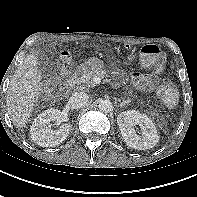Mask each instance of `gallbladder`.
Listing matches in <instances>:
<instances>
[{"label":"gallbladder","instance_id":"bac80fb5","mask_svg":"<svg viewBox=\"0 0 197 197\" xmlns=\"http://www.w3.org/2000/svg\"><path fill=\"white\" fill-rule=\"evenodd\" d=\"M39 58L41 62H46V58H47L46 52H42Z\"/></svg>","mask_w":197,"mask_h":197}]
</instances>
